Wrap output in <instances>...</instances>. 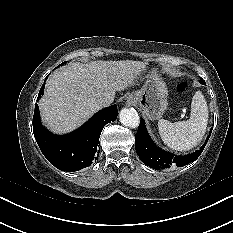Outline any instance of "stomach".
I'll list each match as a JSON object with an SVG mask.
<instances>
[{"mask_svg":"<svg viewBox=\"0 0 233 233\" xmlns=\"http://www.w3.org/2000/svg\"><path fill=\"white\" fill-rule=\"evenodd\" d=\"M143 87L131 93L128 100L137 104L150 120L160 119L167 109L168 90L165 82L152 70L146 77Z\"/></svg>","mask_w":233,"mask_h":233,"instance_id":"obj_1","label":"stomach"}]
</instances>
